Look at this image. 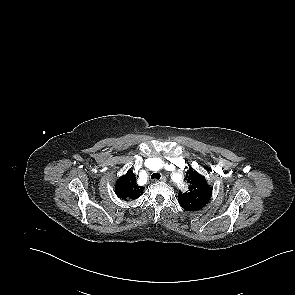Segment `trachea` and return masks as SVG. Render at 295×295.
I'll list each match as a JSON object with an SVG mask.
<instances>
[{"mask_svg":"<svg viewBox=\"0 0 295 295\" xmlns=\"http://www.w3.org/2000/svg\"><path fill=\"white\" fill-rule=\"evenodd\" d=\"M160 177H161L160 173H153L152 176H151V179L159 180Z\"/></svg>","mask_w":295,"mask_h":295,"instance_id":"1","label":"trachea"}]
</instances>
